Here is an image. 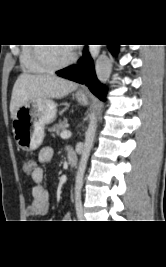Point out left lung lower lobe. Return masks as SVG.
I'll return each mask as SVG.
<instances>
[{
    "mask_svg": "<svg viewBox=\"0 0 166 267\" xmlns=\"http://www.w3.org/2000/svg\"><path fill=\"white\" fill-rule=\"evenodd\" d=\"M108 47L114 54L118 51V45H108ZM56 74L77 83L85 84L93 94L101 100H105V88L96 78L93 61L86 47L79 64L59 70Z\"/></svg>",
    "mask_w": 166,
    "mask_h": 267,
    "instance_id": "obj_1",
    "label": "left lung lower lobe"
}]
</instances>
